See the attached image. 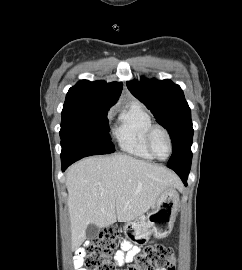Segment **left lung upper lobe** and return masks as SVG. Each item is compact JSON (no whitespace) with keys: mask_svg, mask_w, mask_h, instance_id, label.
<instances>
[{"mask_svg":"<svg viewBox=\"0 0 242 270\" xmlns=\"http://www.w3.org/2000/svg\"><path fill=\"white\" fill-rule=\"evenodd\" d=\"M127 87L169 132L173 153L167 166L173 170H190L193 138L191 110L180 86L171 80L142 78L140 81H129Z\"/></svg>","mask_w":242,"mask_h":270,"instance_id":"left-lung-upper-lobe-1","label":"left lung upper lobe"}]
</instances>
